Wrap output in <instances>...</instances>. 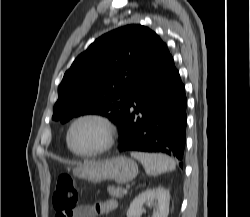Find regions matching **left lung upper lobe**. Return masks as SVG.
Instances as JSON below:
<instances>
[{
    "label": "left lung upper lobe",
    "mask_w": 250,
    "mask_h": 217,
    "mask_svg": "<svg viewBox=\"0 0 250 217\" xmlns=\"http://www.w3.org/2000/svg\"><path fill=\"white\" fill-rule=\"evenodd\" d=\"M162 43L142 25H127L96 39L65 73L52 119L65 123L99 114L120 128L132 91L153 65Z\"/></svg>",
    "instance_id": "left-lung-upper-lobe-1"
}]
</instances>
